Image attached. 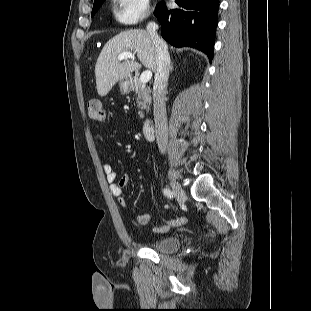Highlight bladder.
I'll list each match as a JSON object with an SVG mask.
<instances>
[{"label":"bladder","instance_id":"1","mask_svg":"<svg viewBox=\"0 0 311 311\" xmlns=\"http://www.w3.org/2000/svg\"><path fill=\"white\" fill-rule=\"evenodd\" d=\"M181 243V238L176 235L165 236L151 240L148 245L151 249L159 252L170 253L177 250Z\"/></svg>","mask_w":311,"mask_h":311}]
</instances>
